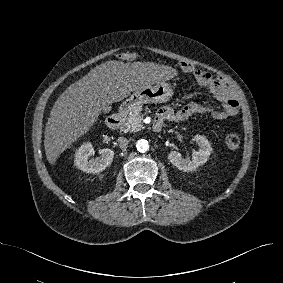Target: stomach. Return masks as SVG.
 <instances>
[{"mask_svg":"<svg viewBox=\"0 0 283 283\" xmlns=\"http://www.w3.org/2000/svg\"><path fill=\"white\" fill-rule=\"evenodd\" d=\"M172 96L173 89L171 86L165 81H161L156 85H151L133 92L121 104L120 109L124 110L125 112H129L142 104L167 102Z\"/></svg>","mask_w":283,"mask_h":283,"instance_id":"obj_1","label":"stomach"}]
</instances>
